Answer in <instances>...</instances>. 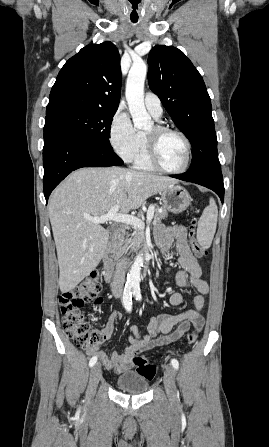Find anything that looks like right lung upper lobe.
Listing matches in <instances>:
<instances>
[{"label":"right lung upper lobe","instance_id":"right-lung-upper-lobe-1","mask_svg":"<svg viewBox=\"0 0 269 447\" xmlns=\"http://www.w3.org/2000/svg\"><path fill=\"white\" fill-rule=\"evenodd\" d=\"M120 56L111 42L90 44L70 58L52 87L46 113L61 108L117 109Z\"/></svg>","mask_w":269,"mask_h":447}]
</instances>
